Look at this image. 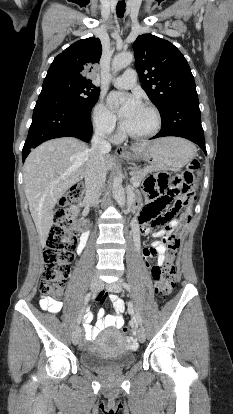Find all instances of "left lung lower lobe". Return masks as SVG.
<instances>
[{
  "mask_svg": "<svg viewBox=\"0 0 233 414\" xmlns=\"http://www.w3.org/2000/svg\"><path fill=\"white\" fill-rule=\"evenodd\" d=\"M161 122L160 132L151 139L165 136L186 138L199 145L207 155L197 96L174 101L161 116Z\"/></svg>",
  "mask_w": 233,
  "mask_h": 414,
  "instance_id": "0a47b994",
  "label": "left lung lower lobe"
}]
</instances>
